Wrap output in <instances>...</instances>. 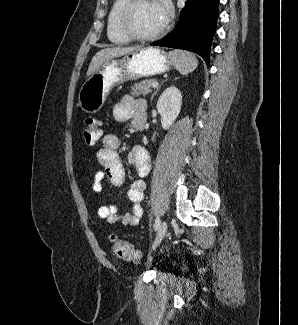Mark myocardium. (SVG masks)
I'll return each mask as SVG.
<instances>
[{
	"label": "myocardium",
	"mask_w": 298,
	"mask_h": 325,
	"mask_svg": "<svg viewBox=\"0 0 298 325\" xmlns=\"http://www.w3.org/2000/svg\"><path fill=\"white\" fill-rule=\"evenodd\" d=\"M141 1H143V0H126V2L124 3V5L118 15L117 27H118L119 32L123 36L128 38L130 41H137V42L154 41L157 38H159L166 31L167 22L161 29H159L158 31H156L153 34L148 35V36L136 35L127 24V19H128V16H129L131 10ZM153 1H156L161 4L160 0H153Z\"/></svg>",
	"instance_id": "1"
}]
</instances>
